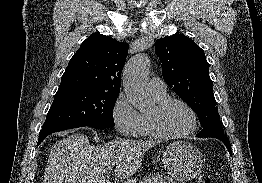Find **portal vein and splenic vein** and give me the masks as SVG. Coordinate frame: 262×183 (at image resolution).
Masks as SVG:
<instances>
[{
  "instance_id": "portal-vein-and-splenic-vein-1",
  "label": "portal vein and splenic vein",
  "mask_w": 262,
  "mask_h": 183,
  "mask_svg": "<svg viewBox=\"0 0 262 183\" xmlns=\"http://www.w3.org/2000/svg\"><path fill=\"white\" fill-rule=\"evenodd\" d=\"M111 172H112V169H109V170H106V171H105V174H106V175H109V174H111Z\"/></svg>"
}]
</instances>
